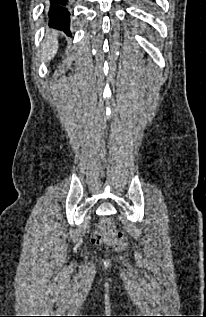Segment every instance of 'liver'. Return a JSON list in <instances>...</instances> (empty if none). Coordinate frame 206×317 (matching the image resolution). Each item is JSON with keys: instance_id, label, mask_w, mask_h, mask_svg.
Returning <instances> with one entry per match:
<instances>
[{"instance_id": "1", "label": "liver", "mask_w": 206, "mask_h": 317, "mask_svg": "<svg viewBox=\"0 0 206 317\" xmlns=\"http://www.w3.org/2000/svg\"><path fill=\"white\" fill-rule=\"evenodd\" d=\"M57 36H58V32L55 30L52 31L48 35V37H47V39L42 47V59L44 61L50 60L56 54V52L58 50Z\"/></svg>"}]
</instances>
